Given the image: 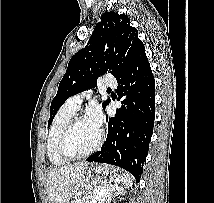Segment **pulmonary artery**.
Segmentation results:
<instances>
[{"instance_id":"obj_1","label":"pulmonary artery","mask_w":214,"mask_h":203,"mask_svg":"<svg viewBox=\"0 0 214 203\" xmlns=\"http://www.w3.org/2000/svg\"><path fill=\"white\" fill-rule=\"evenodd\" d=\"M102 84L110 88H115L117 85V82L115 78L108 76L103 79ZM82 98H83L82 94L74 95L67 100V104L70 108L77 111L81 106Z\"/></svg>"}]
</instances>
